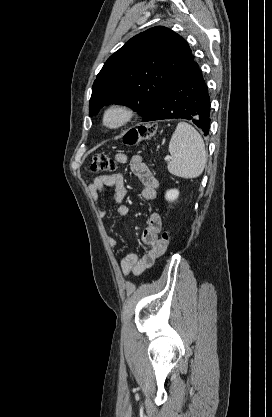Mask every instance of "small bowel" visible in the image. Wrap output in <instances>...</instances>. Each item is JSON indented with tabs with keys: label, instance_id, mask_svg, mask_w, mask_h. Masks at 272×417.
<instances>
[{
	"label": "small bowel",
	"instance_id": "obj_1",
	"mask_svg": "<svg viewBox=\"0 0 272 417\" xmlns=\"http://www.w3.org/2000/svg\"><path fill=\"white\" fill-rule=\"evenodd\" d=\"M115 159L119 163H126L128 161V156L124 153H117ZM130 166L133 174L136 175L143 184V189L141 191L142 199L144 201L153 200L157 195L159 181L140 155H135L131 158ZM105 187L114 188V192L110 197L111 201L115 203H121L123 201L127 190L124 183V177L121 173L99 175L88 184L89 193L95 201L99 200ZM117 212L121 216H126L129 213V208L125 205H119ZM105 214L106 212L104 210L100 211L102 217H104ZM162 226L163 221L160 214L151 212L148 217L147 226L142 233V241L147 246V249L142 255L129 253L122 258L120 261V268L124 275H139L143 273L166 251L167 246H164L159 238ZM108 243L114 247L118 244V241L114 237H109Z\"/></svg>",
	"mask_w": 272,
	"mask_h": 417
}]
</instances>
